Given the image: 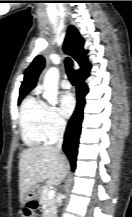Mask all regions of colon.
<instances>
[{"mask_svg":"<svg viewBox=\"0 0 132 217\" xmlns=\"http://www.w3.org/2000/svg\"><path fill=\"white\" fill-rule=\"evenodd\" d=\"M35 208H36V205L33 202L29 203L23 209L21 217H34Z\"/></svg>","mask_w":132,"mask_h":217,"instance_id":"colon-1","label":"colon"}]
</instances>
